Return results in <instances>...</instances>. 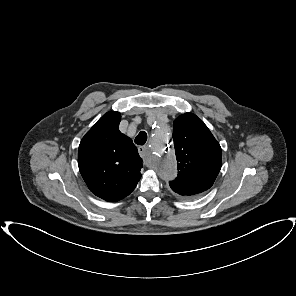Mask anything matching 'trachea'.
I'll return each instance as SVG.
<instances>
[{"instance_id": "3493384b", "label": "trachea", "mask_w": 296, "mask_h": 296, "mask_svg": "<svg viewBox=\"0 0 296 296\" xmlns=\"http://www.w3.org/2000/svg\"><path fill=\"white\" fill-rule=\"evenodd\" d=\"M146 141H147V133L145 131H141L135 138V143L138 145H144Z\"/></svg>"}]
</instances>
